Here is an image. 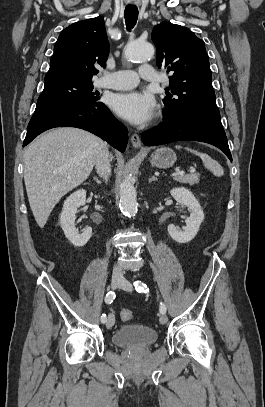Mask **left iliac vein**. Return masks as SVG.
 I'll return each instance as SVG.
<instances>
[{
  "label": "left iliac vein",
  "instance_id": "1",
  "mask_svg": "<svg viewBox=\"0 0 265 407\" xmlns=\"http://www.w3.org/2000/svg\"><path fill=\"white\" fill-rule=\"evenodd\" d=\"M120 288L123 289V290H125V291H132V285H131V283H130L128 280H126V279H123V281H122V283H121V285H120ZM159 321H160V323H161L162 325H164V324H166V323L168 322V317H167L165 314H162V315L160 316V318H159Z\"/></svg>",
  "mask_w": 265,
  "mask_h": 407
}]
</instances>
